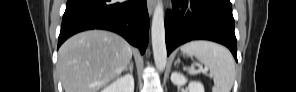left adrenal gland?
<instances>
[{
	"label": "left adrenal gland",
	"mask_w": 296,
	"mask_h": 92,
	"mask_svg": "<svg viewBox=\"0 0 296 92\" xmlns=\"http://www.w3.org/2000/svg\"><path fill=\"white\" fill-rule=\"evenodd\" d=\"M177 63H180V59H179V57H178L177 60L175 61L174 65H176Z\"/></svg>",
	"instance_id": "a2214340"
}]
</instances>
